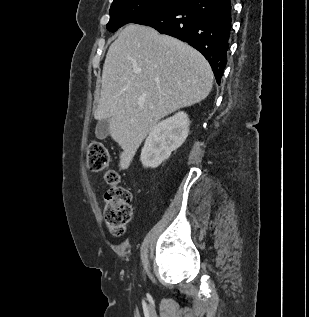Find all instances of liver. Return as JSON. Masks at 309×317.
<instances>
[{
  "label": "liver",
  "mask_w": 309,
  "mask_h": 317,
  "mask_svg": "<svg viewBox=\"0 0 309 317\" xmlns=\"http://www.w3.org/2000/svg\"><path fill=\"white\" fill-rule=\"evenodd\" d=\"M213 85L208 61L188 44L155 29L127 25L111 44L94 117L109 133L128 168L137 149L163 117L204 100Z\"/></svg>",
  "instance_id": "6515ba94"
}]
</instances>
